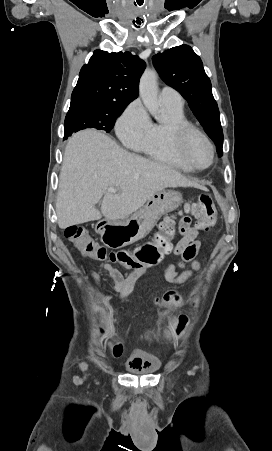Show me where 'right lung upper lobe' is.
<instances>
[{
	"label": "right lung upper lobe",
	"mask_w": 272,
	"mask_h": 451,
	"mask_svg": "<svg viewBox=\"0 0 272 451\" xmlns=\"http://www.w3.org/2000/svg\"><path fill=\"white\" fill-rule=\"evenodd\" d=\"M146 64L130 52L95 50L79 74L71 103L99 101L129 104L138 97Z\"/></svg>",
	"instance_id": "obj_1"
}]
</instances>
